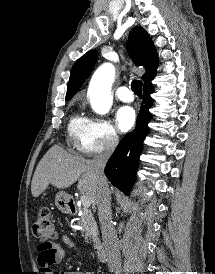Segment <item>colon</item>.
Wrapping results in <instances>:
<instances>
[{"instance_id":"1","label":"colon","mask_w":215,"mask_h":274,"mask_svg":"<svg viewBox=\"0 0 215 274\" xmlns=\"http://www.w3.org/2000/svg\"><path fill=\"white\" fill-rule=\"evenodd\" d=\"M33 234L41 242L52 243L56 237L55 227L51 221L48 208L40 209L37 219L33 224Z\"/></svg>"}]
</instances>
